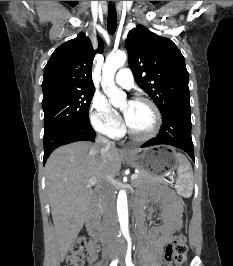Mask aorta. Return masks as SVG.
<instances>
[{
    "label": "aorta",
    "instance_id": "762f6f07",
    "mask_svg": "<svg viewBox=\"0 0 233 266\" xmlns=\"http://www.w3.org/2000/svg\"><path fill=\"white\" fill-rule=\"evenodd\" d=\"M126 60V53L123 51H118L106 58L105 64L103 65L102 69V89L109 98L112 105L115 107L120 106L126 97L125 93L117 88L114 81L116 71L125 64ZM117 213L122 234L128 236V205L127 195L124 190H121L118 193Z\"/></svg>",
    "mask_w": 233,
    "mask_h": 266
}]
</instances>
